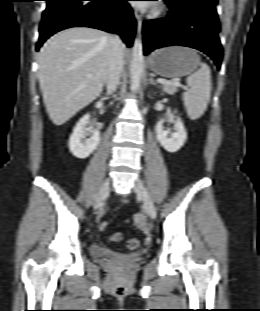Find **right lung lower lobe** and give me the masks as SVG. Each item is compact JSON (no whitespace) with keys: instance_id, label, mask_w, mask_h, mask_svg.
<instances>
[{"instance_id":"1","label":"right lung lower lobe","mask_w":260,"mask_h":311,"mask_svg":"<svg viewBox=\"0 0 260 311\" xmlns=\"http://www.w3.org/2000/svg\"><path fill=\"white\" fill-rule=\"evenodd\" d=\"M36 51L54 33L70 27H91L118 33L131 46L135 33L133 12L128 0H45Z\"/></svg>"}]
</instances>
